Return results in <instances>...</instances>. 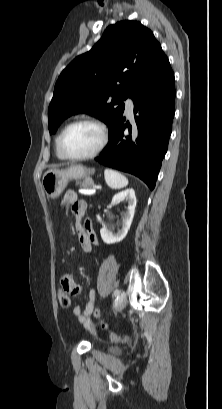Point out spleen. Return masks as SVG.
<instances>
[{
	"instance_id": "spleen-1",
	"label": "spleen",
	"mask_w": 222,
	"mask_h": 409,
	"mask_svg": "<svg viewBox=\"0 0 222 409\" xmlns=\"http://www.w3.org/2000/svg\"><path fill=\"white\" fill-rule=\"evenodd\" d=\"M104 176L107 185L111 189H121L128 185V179L115 170L105 169Z\"/></svg>"
}]
</instances>
